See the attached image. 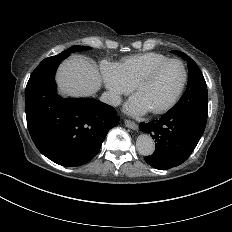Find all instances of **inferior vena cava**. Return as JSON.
I'll return each mask as SVG.
<instances>
[{
    "label": "inferior vena cava",
    "instance_id": "obj_1",
    "mask_svg": "<svg viewBox=\"0 0 232 232\" xmlns=\"http://www.w3.org/2000/svg\"><path fill=\"white\" fill-rule=\"evenodd\" d=\"M100 100L108 105H112V106H118L121 103V98L120 96L114 94L113 92H104L101 97Z\"/></svg>",
    "mask_w": 232,
    "mask_h": 232
}]
</instances>
